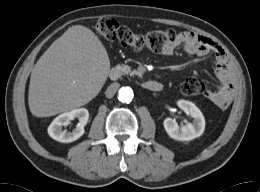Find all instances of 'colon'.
<instances>
[{"instance_id":"obj_1","label":"colon","mask_w":260,"mask_h":192,"mask_svg":"<svg viewBox=\"0 0 260 192\" xmlns=\"http://www.w3.org/2000/svg\"><path fill=\"white\" fill-rule=\"evenodd\" d=\"M97 33L107 40H116L122 45L135 50L144 48L162 52L173 45L179 38V33L173 29L153 30L145 34L133 32L113 18H101L95 25ZM185 95H197L204 92V85L195 77H188L182 84Z\"/></svg>"}]
</instances>
